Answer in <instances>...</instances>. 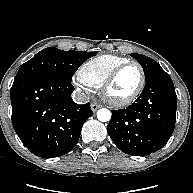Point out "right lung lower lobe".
<instances>
[{
	"label": "right lung lower lobe",
	"instance_id": "right-lung-lower-lobe-1",
	"mask_svg": "<svg viewBox=\"0 0 193 193\" xmlns=\"http://www.w3.org/2000/svg\"><path fill=\"white\" fill-rule=\"evenodd\" d=\"M71 82L29 75L11 88L12 123L22 143L43 158L62 156L77 144L84 122L93 115L90 103L76 104Z\"/></svg>",
	"mask_w": 193,
	"mask_h": 193
}]
</instances>
